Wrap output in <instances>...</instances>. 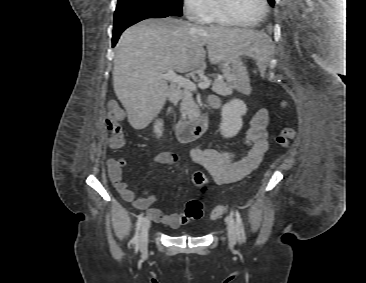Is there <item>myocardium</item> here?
<instances>
[{"label":"myocardium","mask_w":366,"mask_h":283,"mask_svg":"<svg viewBox=\"0 0 366 283\" xmlns=\"http://www.w3.org/2000/svg\"><path fill=\"white\" fill-rule=\"evenodd\" d=\"M233 0H216V5L218 10L222 13V15L227 18L232 23L243 26V27H254L257 26L259 23H261L267 16L269 11L268 1L262 0L264 11L262 15L256 19L252 23H246L242 21L235 13L233 8Z\"/></svg>","instance_id":"obj_1"}]
</instances>
